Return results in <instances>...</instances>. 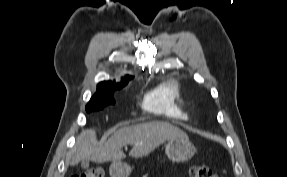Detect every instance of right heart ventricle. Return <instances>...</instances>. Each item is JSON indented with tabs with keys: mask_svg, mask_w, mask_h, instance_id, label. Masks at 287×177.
Wrapping results in <instances>:
<instances>
[{
	"mask_svg": "<svg viewBox=\"0 0 287 177\" xmlns=\"http://www.w3.org/2000/svg\"><path fill=\"white\" fill-rule=\"evenodd\" d=\"M144 109L154 115L184 120L188 116L183 85L175 79L165 81L146 94Z\"/></svg>",
	"mask_w": 287,
	"mask_h": 177,
	"instance_id": "1",
	"label": "right heart ventricle"
}]
</instances>
